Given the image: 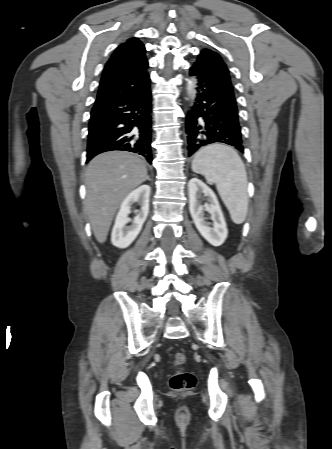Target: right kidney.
Masks as SVG:
<instances>
[{
    "label": "right kidney",
    "mask_w": 332,
    "mask_h": 449,
    "mask_svg": "<svg viewBox=\"0 0 332 449\" xmlns=\"http://www.w3.org/2000/svg\"><path fill=\"white\" fill-rule=\"evenodd\" d=\"M150 192L151 188L148 185H142L129 193L124 199L112 229L111 242L114 246L126 248L136 239L149 213ZM135 202L141 205V209L133 219L132 224L127 226L131 222L128 215L131 213V206Z\"/></svg>",
    "instance_id": "ca27d5eb"
}]
</instances>
